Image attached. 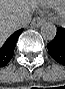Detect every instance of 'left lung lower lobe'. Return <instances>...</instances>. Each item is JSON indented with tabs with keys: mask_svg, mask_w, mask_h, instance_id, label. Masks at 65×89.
Returning <instances> with one entry per match:
<instances>
[{
	"mask_svg": "<svg viewBox=\"0 0 65 89\" xmlns=\"http://www.w3.org/2000/svg\"><path fill=\"white\" fill-rule=\"evenodd\" d=\"M50 56L65 65V27H59L55 38L47 45Z\"/></svg>",
	"mask_w": 65,
	"mask_h": 89,
	"instance_id": "obj_1",
	"label": "left lung lower lobe"
}]
</instances>
